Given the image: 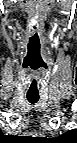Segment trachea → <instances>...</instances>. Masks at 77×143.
<instances>
[{"label":"trachea","instance_id":"trachea-1","mask_svg":"<svg viewBox=\"0 0 77 143\" xmlns=\"http://www.w3.org/2000/svg\"><path fill=\"white\" fill-rule=\"evenodd\" d=\"M27 100L29 101V103L31 104H35L38 100H39V95H27Z\"/></svg>","mask_w":77,"mask_h":143}]
</instances>
